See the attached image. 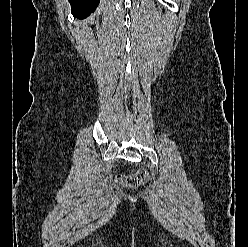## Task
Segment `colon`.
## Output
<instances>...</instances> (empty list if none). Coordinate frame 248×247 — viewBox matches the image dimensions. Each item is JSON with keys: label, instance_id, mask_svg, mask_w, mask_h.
Instances as JSON below:
<instances>
[{"label": "colon", "instance_id": "5ec220e1", "mask_svg": "<svg viewBox=\"0 0 248 247\" xmlns=\"http://www.w3.org/2000/svg\"><path fill=\"white\" fill-rule=\"evenodd\" d=\"M148 172L143 168L133 170L127 175H118L115 180L116 183L125 188H138L148 181Z\"/></svg>", "mask_w": 248, "mask_h": 247}]
</instances>
